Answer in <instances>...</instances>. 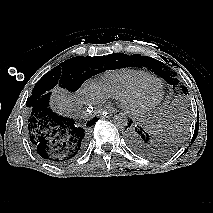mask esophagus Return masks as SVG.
<instances>
[{
  "label": "esophagus",
  "mask_w": 213,
  "mask_h": 213,
  "mask_svg": "<svg viewBox=\"0 0 213 213\" xmlns=\"http://www.w3.org/2000/svg\"><path fill=\"white\" fill-rule=\"evenodd\" d=\"M116 113H117V110H115L113 108H110L108 110L103 111V115L107 116V117L112 116V115H114Z\"/></svg>",
  "instance_id": "1"
}]
</instances>
